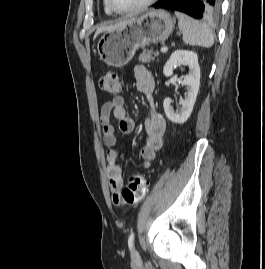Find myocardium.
<instances>
[{
	"mask_svg": "<svg viewBox=\"0 0 265 269\" xmlns=\"http://www.w3.org/2000/svg\"><path fill=\"white\" fill-rule=\"evenodd\" d=\"M157 0H145L144 2H142L141 4L137 5L134 8L131 9H117L113 3L112 0H106V3L109 7V9L117 14H133V13H138L141 12L143 10H145L146 8H148L149 6H151L153 3H155Z\"/></svg>",
	"mask_w": 265,
	"mask_h": 269,
	"instance_id": "f54148a6",
	"label": "myocardium"
}]
</instances>
